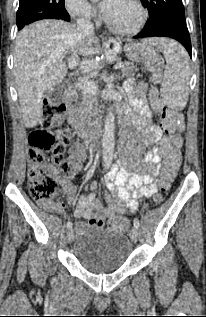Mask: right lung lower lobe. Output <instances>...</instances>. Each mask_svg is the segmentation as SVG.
Wrapping results in <instances>:
<instances>
[{
  "mask_svg": "<svg viewBox=\"0 0 206 317\" xmlns=\"http://www.w3.org/2000/svg\"><path fill=\"white\" fill-rule=\"evenodd\" d=\"M63 20L69 21L70 20L69 14L65 18H63Z\"/></svg>",
  "mask_w": 206,
  "mask_h": 317,
  "instance_id": "1",
  "label": "right lung lower lobe"
}]
</instances>
